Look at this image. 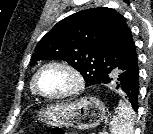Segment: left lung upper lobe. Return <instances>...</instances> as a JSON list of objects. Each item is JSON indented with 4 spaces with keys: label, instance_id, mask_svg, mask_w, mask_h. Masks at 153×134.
Masks as SVG:
<instances>
[{
    "label": "left lung upper lobe",
    "instance_id": "left-lung-upper-lobe-1",
    "mask_svg": "<svg viewBox=\"0 0 153 134\" xmlns=\"http://www.w3.org/2000/svg\"><path fill=\"white\" fill-rule=\"evenodd\" d=\"M135 53L125 18L111 8L98 7L58 22L37 44L32 64L41 59L65 60L91 86L100 84Z\"/></svg>",
    "mask_w": 153,
    "mask_h": 134
}]
</instances>
